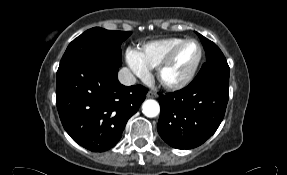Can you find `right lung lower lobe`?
<instances>
[{"label":"right lung lower lobe","mask_w":287,"mask_h":175,"mask_svg":"<svg viewBox=\"0 0 287 175\" xmlns=\"http://www.w3.org/2000/svg\"><path fill=\"white\" fill-rule=\"evenodd\" d=\"M119 66L88 58L58 68L56 104L61 122L70 137L90 151L116 145L146 98L145 87H126L118 81Z\"/></svg>","instance_id":"98d812e1"}]
</instances>
